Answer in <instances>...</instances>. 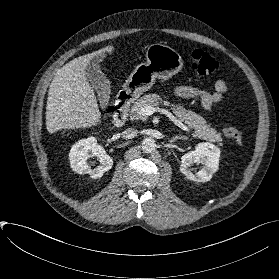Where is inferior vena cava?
I'll return each instance as SVG.
<instances>
[{
	"mask_svg": "<svg viewBox=\"0 0 279 279\" xmlns=\"http://www.w3.org/2000/svg\"><path fill=\"white\" fill-rule=\"evenodd\" d=\"M122 138L131 139L137 135V130L134 128H127L122 133Z\"/></svg>",
	"mask_w": 279,
	"mask_h": 279,
	"instance_id": "602c4592",
	"label": "inferior vena cava"
}]
</instances>
